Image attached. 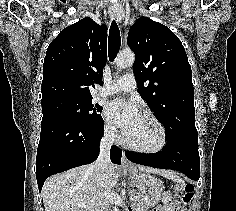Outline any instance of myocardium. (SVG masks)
<instances>
[{"mask_svg":"<svg viewBox=\"0 0 236 211\" xmlns=\"http://www.w3.org/2000/svg\"><path fill=\"white\" fill-rule=\"evenodd\" d=\"M141 115L144 116L145 118L149 119L150 121H152L159 129V132H160L159 144L155 148H151V149L141 148V147H138V146H135V145L129 143L125 139V137H123V139H122L123 145L132 151H135L138 153H143V154H157V153L162 152L165 149V147L167 146V142H168L167 132H166L164 125L160 122L159 119H157L153 114H151L149 112H142Z\"/></svg>","mask_w":236,"mask_h":211,"instance_id":"1","label":"myocardium"}]
</instances>
